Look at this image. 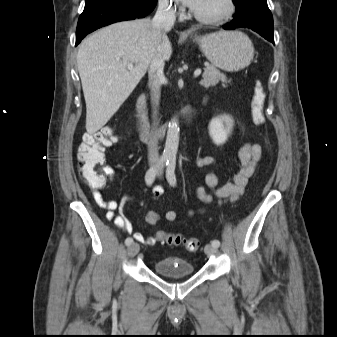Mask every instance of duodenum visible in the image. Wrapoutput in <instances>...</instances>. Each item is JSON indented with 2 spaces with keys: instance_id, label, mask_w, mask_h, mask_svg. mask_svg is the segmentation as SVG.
I'll return each mask as SVG.
<instances>
[{
  "instance_id": "1",
  "label": "duodenum",
  "mask_w": 337,
  "mask_h": 337,
  "mask_svg": "<svg viewBox=\"0 0 337 337\" xmlns=\"http://www.w3.org/2000/svg\"><path fill=\"white\" fill-rule=\"evenodd\" d=\"M146 105L147 100L145 94L140 95L137 101V109H138V132L140 137L145 141H157L162 139L164 133L168 129L169 123H164L158 127L157 130H152L147 122L146 117ZM196 116V112L194 108L189 107L181 115V120L185 124H190L194 121Z\"/></svg>"
}]
</instances>
